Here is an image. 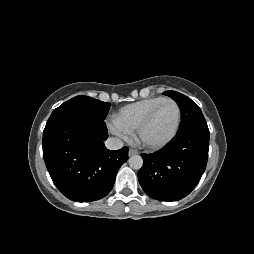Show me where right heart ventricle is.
<instances>
[{
    "label": "right heart ventricle",
    "mask_w": 254,
    "mask_h": 254,
    "mask_svg": "<svg viewBox=\"0 0 254 254\" xmlns=\"http://www.w3.org/2000/svg\"><path fill=\"white\" fill-rule=\"evenodd\" d=\"M164 97H150L123 106L115 115V119L129 131H135L150 110Z\"/></svg>",
    "instance_id": "e07e8e85"
}]
</instances>
